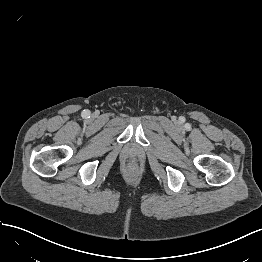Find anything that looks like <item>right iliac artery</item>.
Returning <instances> with one entry per match:
<instances>
[{"label":"right iliac artery","instance_id":"1","mask_svg":"<svg viewBox=\"0 0 262 262\" xmlns=\"http://www.w3.org/2000/svg\"><path fill=\"white\" fill-rule=\"evenodd\" d=\"M82 117L83 118H89L90 117V111L89 110H84L82 112Z\"/></svg>","mask_w":262,"mask_h":262}]
</instances>
